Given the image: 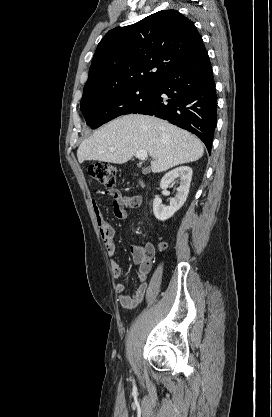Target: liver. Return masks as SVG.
I'll return each instance as SVG.
<instances>
[{"label": "liver", "mask_w": 272, "mask_h": 417, "mask_svg": "<svg viewBox=\"0 0 272 417\" xmlns=\"http://www.w3.org/2000/svg\"><path fill=\"white\" fill-rule=\"evenodd\" d=\"M140 150L152 157L153 173L197 161L204 153L202 142L188 131L153 116L130 114L110 121L85 139L77 158L79 163L123 164Z\"/></svg>", "instance_id": "6515ba94"}]
</instances>
